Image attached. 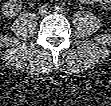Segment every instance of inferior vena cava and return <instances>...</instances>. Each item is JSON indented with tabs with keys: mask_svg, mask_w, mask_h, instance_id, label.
Returning a JSON list of instances; mask_svg holds the SVG:
<instances>
[{
	"mask_svg": "<svg viewBox=\"0 0 111 106\" xmlns=\"http://www.w3.org/2000/svg\"><path fill=\"white\" fill-rule=\"evenodd\" d=\"M51 12V8L49 7V6H47V5H44V6H42L40 9H39V13L41 14V15H47V14H49Z\"/></svg>",
	"mask_w": 111,
	"mask_h": 106,
	"instance_id": "602c4592",
	"label": "inferior vena cava"
}]
</instances>
